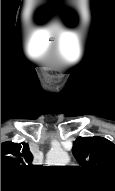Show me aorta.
Returning <instances> with one entry per match:
<instances>
[{
    "mask_svg": "<svg viewBox=\"0 0 115 191\" xmlns=\"http://www.w3.org/2000/svg\"><path fill=\"white\" fill-rule=\"evenodd\" d=\"M48 160L51 164L54 165H66L69 163L70 158L66 151L58 149L49 152Z\"/></svg>",
    "mask_w": 115,
    "mask_h": 191,
    "instance_id": "obj_1",
    "label": "aorta"
}]
</instances>
